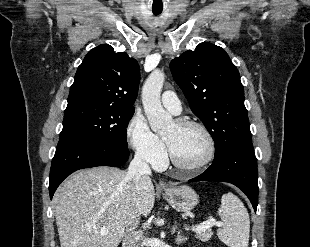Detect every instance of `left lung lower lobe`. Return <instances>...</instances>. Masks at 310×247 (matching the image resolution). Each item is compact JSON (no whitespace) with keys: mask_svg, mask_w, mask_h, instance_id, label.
Listing matches in <instances>:
<instances>
[{"mask_svg":"<svg viewBox=\"0 0 310 247\" xmlns=\"http://www.w3.org/2000/svg\"><path fill=\"white\" fill-rule=\"evenodd\" d=\"M189 181L229 182L240 188L250 199L256 212L258 204V174L252 142L241 144L220 158L201 175Z\"/></svg>","mask_w":310,"mask_h":247,"instance_id":"obj_1","label":"left lung lower lobe"}]
</instances>
